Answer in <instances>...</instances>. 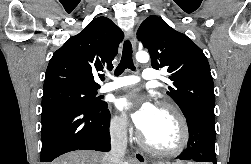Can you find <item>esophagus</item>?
Wrapping results in <instances>:
<instances>
[{
  "label": "esophagus",
  "instance_id": "34e87169",
  "mask_svg": "<svg viewBox=\"0 0 251 164\" xmlns=\"http://www.w3.org/2000/svg\"><path fill=\"white\" fill-rule=\"evenodd\" d=\"M127 37L129 38L133 50L136 49V33L134 31V29L130 30L127 33ZM134 159L139 163V164H146V158L144 156V154L142 152H140L139 150H135L133 153Z\"/></svg>",
  "mask_w": 251,
  "mask_h": 164
}]
</instances>
